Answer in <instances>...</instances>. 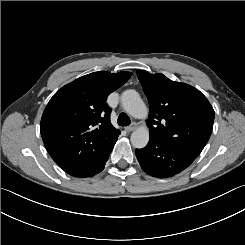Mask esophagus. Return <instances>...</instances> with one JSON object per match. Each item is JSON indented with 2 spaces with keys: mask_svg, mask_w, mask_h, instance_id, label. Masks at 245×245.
<instances>
[{
  "mask_svg": "<svg viewBox=\"0 0 245 245\" xmlns=\"http://www.w3.org/2000/svg\"><path fill=\"white\" fill-rule=\"evenodd\" d=\"M136 128H137V124L135 122H133L130 126L125 127V130L127 132H131V131H134Z\"/></svg>",
  "mask_w": 245,
  "mask_h": 245,
  "instance_id": "34e87169",
  "label": "esophagus"
}]
</instances>
